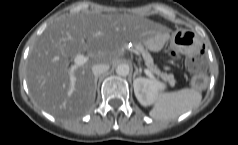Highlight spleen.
<instances>
[{
	"label": "spleen",
	"mask_w": 238,
	"mask_h": 145,
	"mask_svg": "<svg viewBox=\"0 0 238 145\" xmlns=\"http://www.w3.org/2000/svg\"><path fill=\"white\" fill-rule=\"evenodd\" d=\"M201 100V92L193 88L159 93L149 115L156 120H172L199 106Z\"/></svg>",
	"instance_id": "obj_1"
}]
</instances>
